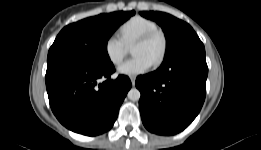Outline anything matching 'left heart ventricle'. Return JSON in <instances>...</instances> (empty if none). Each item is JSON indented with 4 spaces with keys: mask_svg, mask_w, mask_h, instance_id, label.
I'll return each mask as SVG.
<instances>
[{
    "mask_svg": "<svg viewBox=\"0 0 261 150\" xmlns=\"http://www.w3.org/2000/svg\"><path fill=\"white\" fill-rule=\"evenodd\" d=\"M161 46L162 42L160 37H156L149 43L134 44L132 54L134 56L144 55L153 63L161 50Z\"/></svg>",
    "mask_w": 261,
    "mask_h": 150,
    "instance_id": "b2bd125f",
    "label": "left heart ventricle"
}]
</instances>
